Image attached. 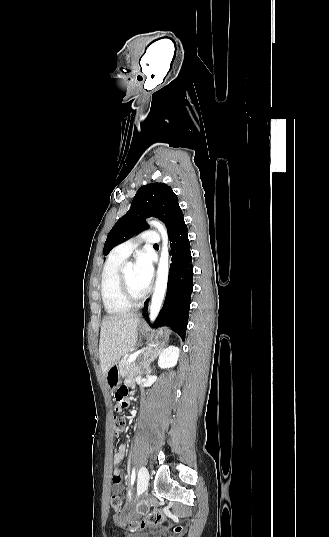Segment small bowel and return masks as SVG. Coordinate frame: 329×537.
Segmentation results:
<instances>
[{"mask_svg":"<svg viewBox=\"0 0 329 537\" xmlns=\"http://www.w3.org/2000/svg\"><path fill=\"white\" fill-rule=\"evenodd\" d=\"M129 385L127 382L122 381L119 383L118 388L116 389V394L113 399L114 402V408L115 412L117 414H120L121 412H124L128 408V396H129ZM126 453V447L124 445H121L118 447V449L113 454V463L115 465L119 464ZM113 484H114V490L117 492L123 491V474L122 471L118 468L114 469L113 471Z\"/></svg>","mask_w":329,"mask_h":537,"instance_id":"obj_1","label":"small bowel"}]
</instances>
